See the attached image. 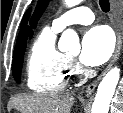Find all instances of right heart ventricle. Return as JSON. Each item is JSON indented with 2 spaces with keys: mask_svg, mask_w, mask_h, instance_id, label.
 <instances>
[{
  "mask_svg": "<svg viewBox=\"0 0 123 113\" xmlns=\"http://www.w3.org/2000/svg\"><path fill=\"white\" fill-rule=\"evenodd\" d=\"M58 31L44 28L35 38L27 58L26 82L30 90L38 93L62 91L71 75L68 57L56 47Z\"/></svg>",
  "mask_w": 123,
  "mask_h": 113,
  "instance_id": "right-heart-ventricle-1",
  "label": "right heart ventricle"
}]
</instances>
